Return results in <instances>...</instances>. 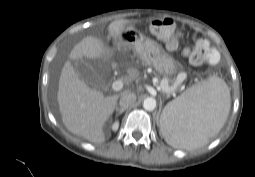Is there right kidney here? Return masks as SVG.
Returning a JSON list of instances; mask_svg holds the SVG:
<instances>
[{
    "label": "right kidney",
    "instance_id": "obj_1",
    "mask_svg": "<svg viewBox=\"0 0 255 177\" xmlns=\"http://www.w3.org/2000/svg\"><path fill=\"white\" fill-rule=\"evenodd\" d=\"M118 127H119V122L116 121V122L113 123V125L111 126V129H112L113 131H117V130H118Z\"/></svg>",
    "mask_w": 255,
    "mask_h": 177
}]
</instances>
